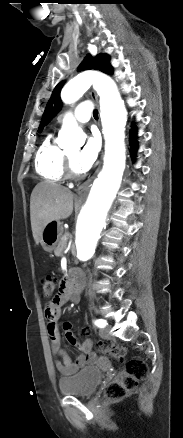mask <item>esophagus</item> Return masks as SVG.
Listing matches in <instances>:
<instances>
[{
  "label": "esophagus",
  "mask_w": 183,
  "mask_h": 438,
  "mask_svg": "<svg viewBox=\"0 0 183 438\" xmlns=\"http://www.w3.org/2000/svg\"><path fill=\"white\" fill-rule=\"evenodd\" d=\"M91 97H92V99H93L94 101L98 102V97H97V95H96V93H95L94 91L91 92ZM102 156H103V153H102ZM102 156H101V157H102ZM100 168H101V164L99 165V167H98L97 170L95 171L94 175H93L91 178H89L88 180H86L84 183H82V184L77 188V193H78V195H82V194H84V193L89 189V187H90V185H91L93 179L95 178L96 174L99 172Z\"/></svg>",
  "instance_id": "1"
}]
</instances>
